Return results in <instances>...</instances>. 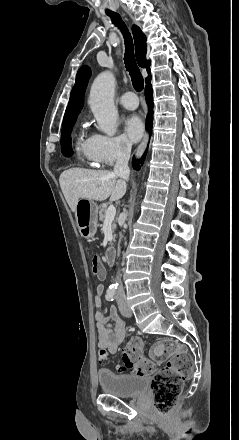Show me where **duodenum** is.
Returning a JSON list of instances; mask_svg holds the SVG:
<instances>
[{
  "label": "duodenum",
  "mask_w": 239,
  "mask_h": 440,
  "mask_svg": "<svg viewBox=\"0 0 239 440\" xmlns=\"http://www.w3.org/2000/svg\"><path fill=\"white\" fill-rule=\"evenodd\" d=\"M106 260L108 264H112L115 258V250L113 248H108L106 251Z\"/></svg>",
  "instance_id": "1"
}]
</instances>
